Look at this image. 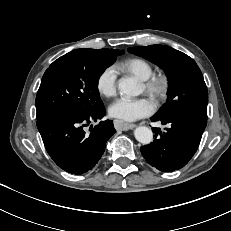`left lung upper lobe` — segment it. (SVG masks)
Returning a JSON list of instances; mask_svg holds the SVG:
<instances>
[{
    "label": "left lung upper lobe",
    "instance_id": "left-lung-upper-lobe-1",
    "mask_svg": "<svg viewBox=\"0 0 231 231\" xmlns=\"http://www.w3.org/2000/svg\"><path fill=\"white\" fill-rule=\"evenodd\" d=\"M128 51L158 65L168 76V99L155 115L189 114L207 120V87L192 58L159 44L128 48Z\"/></svg>",
    "mask_w": 231,
    "mask_h": 231
}]
</instances>
